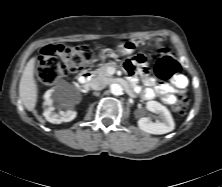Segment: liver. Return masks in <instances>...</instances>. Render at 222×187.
<instances>
[{
    "label": "liver",
    "instance_id": "1",
    "mask_svg": "<svg viewBox=\"0 0 222 187\" xmlns=\"http://www.w3.org/2000/svg\"><path fill=\"white\" fill-rule=\"evenodd\" d=\"M35 61L36 58L28 61L19 83V96L28 111H33L37 102V85L34 79Z\"/></svg>",
    "mask_w": 222,
    "mask_h": 187
}]
</instances>
